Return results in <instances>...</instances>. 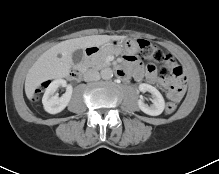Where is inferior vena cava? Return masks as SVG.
Returning a JSON list of instances; mask_svg holds the SVG:
<instances>
[{"mask_svg": "<svg viewBox=\"0 0 219 174\" xmlns=\"http://www.w3.org/2000/svg\"><path fill=\"white\" fill-rule=\"evenodd\" d=\"M100 79V74L96 70H88L84 73V81L90 82V81H97Z\"/></svg>", "mask_w": 219, "mask_h": 174, "instance_id": "obj_1", "label": "inferior vena cava"}]
</instances>
